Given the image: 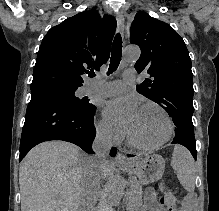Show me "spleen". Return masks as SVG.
<instances>
[{
  "label": "spleen",
  "mask_w": 219,
  "mask_h": 211,
  "mask_svg": "<svg viewBox=\"0 0 219 211\" xmlns=\"http://www.w3.org/2000/svg\"><path fill=\"white\" fill-rule=\"evenodd\" d=\"M171 165L186 191L195 189V165L194 159L183 145H174Z\"/></svg>",
  "instance_id": "1"
}]
</instances>
